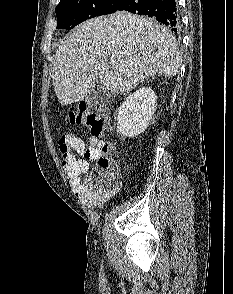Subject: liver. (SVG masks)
<instances>
[{
	"label": "liver",
	"instance_id": "6515ba94",
	"mask_svg": "<svg viewBox=\"0 0 233 294\" xmlns=\"http://www.w3.org/2000/svg\"><path fill=\"white\" fill-rule=\"evenodd\" d=\"M180 66L169 29L120 11L87 20L66 35L56 50L52 82L67 106L85 99L96 82L111 93H128L150 76L176 75Z\"/></svg>",
	"mask_w": 233,
	"mask_h": 294
}]
</instances>
